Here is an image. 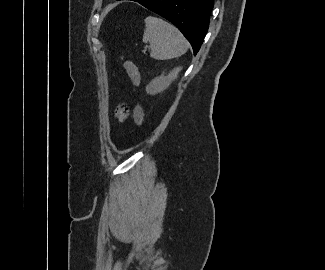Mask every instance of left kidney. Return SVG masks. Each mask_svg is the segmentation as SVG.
I'll list each match as a JSON object with an SVG mask.
<instances>
[{
    "instance_id": "obj_1",
    "label": "left kidney",
    "mask_w": 325,
    "mask_h": 270,
    "mask_svg": "<svg viewBox=\"0 0 325 270\" xmlns=\"http://www.w3.org/2000/svg\"><path fill=\"white\" fill-rule=\"evenodd\" d=\"M181 71V67H177L172 70L167 76L162 74L159 77L154 78L147 86L146 92L154 95L164 91L168 86L177 78L178 73Z\"/></svg>"
}]
</instances>
